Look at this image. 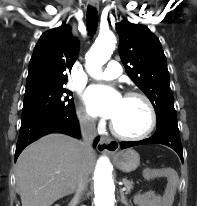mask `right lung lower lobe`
<instances>
[{"label":"right lung lower lobe","mask_w":197,"mask_h":206,"mask_svg":"<svg viewBox=\"0 0 197 206\" xmlns=\"http://www.w3.org/2000/svg\"><path fill=\"white\" fill-rule=\"evenodd\" d=\"M49 133H64L80 138V128L75 111L58 115H48L22 123L16 144L15 160L25 147ZM99 138L95 140L97 144Z\"/></svg>","instance_id":"1"}]
</instances>
